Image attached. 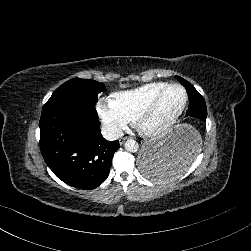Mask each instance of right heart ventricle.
Masks as SVG:
<instances>
[{"instance_id": "1", "label": "right heart ventricle", "mask_w": 251, "mask_h": 251, "mask_svg": "<svg viewBox=\"0 0 251 251\" xmlns=\"http://www.w3.org/2000/svg\"><path fill=\"white\" fill-rule=\"evenodd\" d=\"M166 82H151L140 87L119 93L116 97L121 107L137 118L156 94L166 86Z\"/></svg>"}]
</instances>
